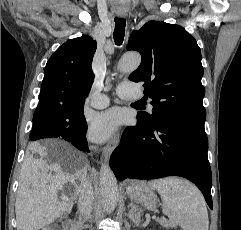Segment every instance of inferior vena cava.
I'll use <instances>...</instances> for the list:
<instances>
[{
    "mask_svg": "<svg viewBox=\"0 0 241 230\" xmlns=\"http://www.w3.org/2000/svg\"><path fill=\"white\" fill-rule=\"evenodd\" d=\"M93 187L90 181L86 180L81 187L78 199V209L80 215L85 219H89L93 210Z\"/></svg>",
    "mask_w": 241,
    "mask_h": 230,
    "instance_id": "1",
    "label": "inferior vena cava"
}]
</instances>
